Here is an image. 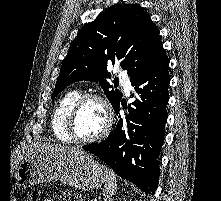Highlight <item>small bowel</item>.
<instances>
[{
  "instance_id": "obj_1",
  "label": "small bowel",
  "mask_w": 221,
  "mask_h": 201,
  "mask_svg": "<svg viewBox=\"0 0 221 201\" xmlns=\"http://www.w3.org/2000/svg\"><path fill=\"white\" fill-rule=\"evenodd\" d=\"M45 201H54L53 199H46Z\"/></svg>"
}]
</instances>
